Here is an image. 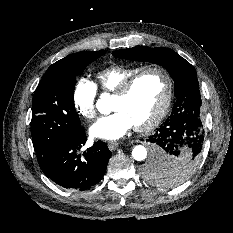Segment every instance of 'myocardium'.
<instances>
[{"label":"myocardium","mask_w":233,"mask_h":233,"mask_svg":"<svg viewBox=\"0 0 233 233\" xmlns=\"http://www.w3.org/2000/svg\"><path fill=\"white\" fill-rule=\"evenodd\" d=\"M149 71H158L164 76L165 84H166L165 96H164V100L159 110L149 121H147L146 123L140 124V125H135V130L139 132H148L154 129L167 114L168 109L172 102V97H173V81H172V77L170 73L168 72L166 68L160 65L144 66L141 69H139L137 72L132 74L130 77H128L124 82H122V84L114 92V96L116 97L126 96L131 90L134 83L137 81V79L141 75Z\"/></svg>","instance_id":"obj_1"}]
</instances>
